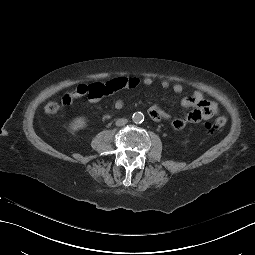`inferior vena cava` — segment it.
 Listing matches in <instances>:
<instances>
[{
    "instance_id": "602c4592",
    "label": "inferior vena cava",
    "mask_w": 255,
    "mask_h": 255,
    "mask_svg": "<svg viewBox=\"0 0 255 255\" xmlns=\"http://www.w3.org/2000/svg\"><path fill=\"white\" fill-rule=\"evenodd\" d=\"M127 122H128L127 119H125V118H120V119H117V120H116L115 125H116V126H124Z\"/></svg>"
}]
</instances>
